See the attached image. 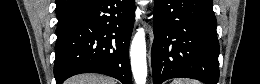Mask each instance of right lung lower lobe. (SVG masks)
Here are the masks:
<instances>
[{
	"label": "right lung lower lobe",
	"mask_w": 260,
	"mask_h": 84,
	"mask_svg": "<svg viewBox=\"0 0 260 84\" xmlns=\"http://www.w3.org/2000/svg\"><path fill=\"white\" fill-rule=\"evenodd\" d=\"M134 17V0H93L58 24L56 84L81 73H101L132 84L128 48Z\"/></svg>",
	"instance_id": "98d812e1"
}]
</instances>
